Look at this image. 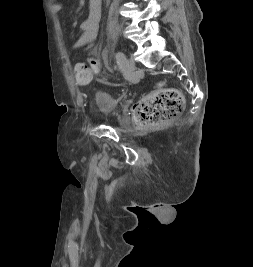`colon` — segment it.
<instances>
[{
	"label": "colon",
	"instance_id": "obj_1",
	"mask_svg": "<svg viewBox=\"0 0 253 267\" xmlns=\"http://www.w3.org/2000/svg\"><path fill=\"white\" fill-rule=\"evenodd\" d=\"M90 67L78 64L75 67V79L79 84L91 80L92 71H98L99 61L91 57ZM185 105L182 93L176 88L159 87L144 96L135 106L136 123L139 126H153L165 123L179 115Z\"/></svg>",
	"mask_w": 253,
	"mask_h": 267
}]
</instances>
